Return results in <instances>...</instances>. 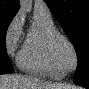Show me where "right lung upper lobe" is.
Here are the masks:
<instances>
[{"mask_svg": "<svg viewBox=\"0 0 89 89\" xmlns=\"http://www.w3.org/2000/svg\"><path fill=\"white\" fill-rule=\"evenodd\" d=\"M19 8V0H0V15L15 16Z\"/></svg>", "mask_w": 89, "mask_h": 89, "instance_id": "1", "label": "right lung upper lobe"}]
</instances>
